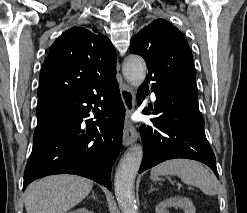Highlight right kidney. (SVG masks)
Masks as SVG:
<instances>
[{
  "instance_id": "1",
  "label": "right kidney",
  "mask_w": 247,
  "mask_h": 213,
  "mask_svg": "<svg viewBox=\"0 0 247 213\" xmlns=\"http://www.w3.org/2000/svg\"><path fill=\"white\" fill-rule=\"evenodd\" d=\"M68 213H94V212L83 207V208H77L76 210L70 211Z\"/></svg>"
}]
</instances>
